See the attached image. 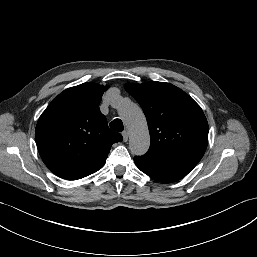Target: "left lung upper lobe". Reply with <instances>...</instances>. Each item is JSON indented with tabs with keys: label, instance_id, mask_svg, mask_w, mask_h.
Wrapping results in <instances>:
<instances>
[{
	"label": "left lung upper lobe",
	"instance_id": "1",
	"mask_svg": "<svg viewBox=\"0 0 257 257\" xmlns=\"http://www.w3.org/2000/svg\"><path fill=\"white\" fill-rule=\"evenodd\" d=\"M141 105L151 145L136 158L159 165H196L208 144V123L200 106L178 87L163 82L127 83Z\"/></svg>",
	"mask_w": 257,
	"mask_h": 257
}]
</instances>
